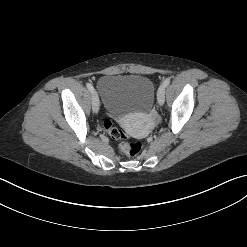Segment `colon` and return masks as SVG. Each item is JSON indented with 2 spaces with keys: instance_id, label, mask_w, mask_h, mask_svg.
Here are the masks:
<instances>
[{
  "instance_id": "colon-1",
  "label": "colon",
  "mask_w": 247,
  "mask_h": 247,
  "mask_svg": "<svg viewBox=\"0 0 247 247\" xmlns=\"http://www.w3.org/2000/svg\"><path fill=\"white\" fill-rule=\"evenodd\" d=\"M103 126L110 137L117 141L118 151L121 154L125 156H135L140 152L142 144L138 141L130 140L121 129L113 126L109 119L104 120Z\"/></svg>"
}]
</instances>
